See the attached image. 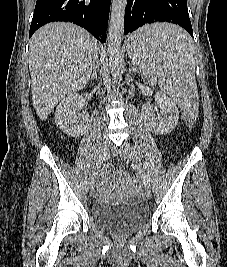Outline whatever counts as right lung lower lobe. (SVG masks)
Wrapping results in <instances>:
<instances>
[{"mask_svg": "<svg viewBox=\"0 0 227 267\" xmlns=\"http://www.w3.org/2000/svg\"><path fill=\"white\" fill-rule=\"evenodd\" d=\"M111 0H37L29 38L41 26L54 21L72 22L106 42Z\"/></svg>", "mask_w": 227, "mask_h": 267, "instance_id": "1", "label": "right lung lower lobe"}]
</instances>
